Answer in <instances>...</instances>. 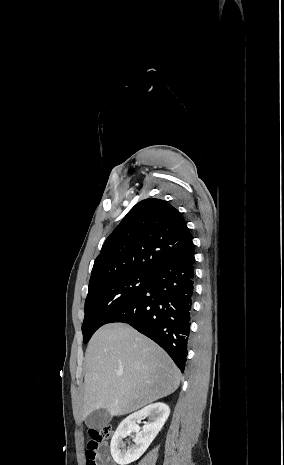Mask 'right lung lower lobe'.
<instances>
[{"label": "right lung lower lobe", "mask_w": 284, "mask_h": 465, "mask_svg": "<svg viewBox=\"0 0 284 465\" xmlns=\"http://www.w3.org/2000/svg\"><path fill=\"white\" fill-rule=\"evenodd\" d=\"M194 245L154 273L145 288L108 323H128L159 344L183 372L194 300Z\"/></svg>", "instance_id": "right-lung-lower-lobe-1"}]
</instances>
